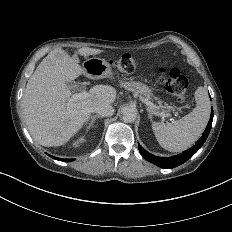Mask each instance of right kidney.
Listing matches in <instances>:
<instances>
[{
    "mask_svg": "<svg viewBox=\"0 0 232 232\" xmlns=\"http://www.w3.org/2000/svg\"><path fill=\"white\" fill-rule=\"evenodd\" d=\"M82 140H83V139H79L78 142L76 143V145H77L80 141H82Z\"/></svg>",
    "mask_w": 232,
    "mask_h": 232,
    "instance_id": "right-kidney-1",
    "label": "right kidney"
}]
</instances>
